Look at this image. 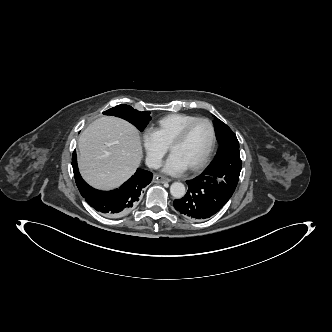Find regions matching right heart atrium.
Listing matches in <instances>:
<instances>
[{
    "instance_id": "1",
    "label": "right heart atrium",
    "mask_w": 332,
    "mask_h": 332,
    "mask_svg": "<svg viewBox=\"0 0 332 332\" xmlns=\"http://www.w3.org/2000/svg\"><path fill=\"white\" fill-rule=\"evenodd\" d=\"M142 147L147 165L151 168H157L167 151V147L159 141L151 129L143 132Z\"/></svg>"
}]
</instances>
